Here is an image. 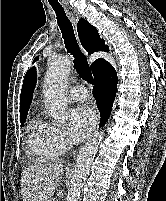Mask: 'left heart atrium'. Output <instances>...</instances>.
I'll use <instances>...</instances> for the list:
<instances>
[{
  "mask_svg": "<svg viewBox=\"0 0 166 201\" xmlns=\"http://www.w3.org/2000/svg\"><path fill=\"white\" fill-rule=\"evenodd\" d=\"M95 111L87 105H79L70 112L69 130L73 141L85 138L96 123Z\"/></svg>",
  "mask_w": 166,
  "mask_h": 201,
  "instance_id": "1",
  "label": "left heart atrium"
}]
</instances>
